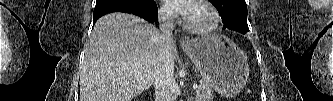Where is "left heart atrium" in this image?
Listing matches in <instances>:
<instances>
[{
	"label": "left heart atrium",
	"mask_w": 333,
	"mask_h": 101,
	"mask_svg": "<svg viewBox=\"0 0 333 101\" xmlns=\"http://www.w3.org/2000/svg\"><path fill=\"white\" fill-rule=\"evenodd\" d=\"M164 4L172 12L186 17L191 9L192 1H190V0H165Z\"/></svg>",
	"instance_id": "1"
}]
</instances>
